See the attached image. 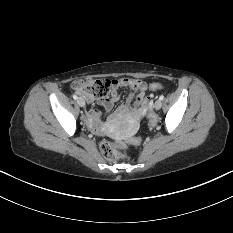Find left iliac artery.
<instances>
[{"mask_svg": "<svg viewBox=\"0 0 233 233\" xmlns=\"http://www.w3.org/2000/svg\"><path fill=\"white\" fill-rule=\"evenodd\" d=\"M159 99H160V100H163V99H164V96H163V95H161V96L159 97Z\"/></svg>", "mask_w": 233, "mask_h": 233, "instance_id": "44dca946", "label": "left iliac artery"}]
</instances>
